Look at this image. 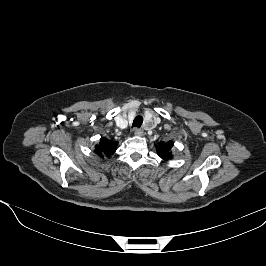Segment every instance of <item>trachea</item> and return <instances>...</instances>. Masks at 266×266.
Returning a JSON list of instances; mask_svg holds the SVG:
<instances>
[{"label": "trachea", "mask_w": 266, "mask_h": 266, "mask_svg": "<svg viewBox=\"0 0 266 266\" xmlns=\"http://www.w3.org/2000/svg\"><path fill=\"white\" fill-rule=\"evenodd\" d=\"M142 123H143V117L141 115H138L134 119L132 126L139 128L142 125Z\"/></svg>", "instance_id": "1"}]
</instances>
